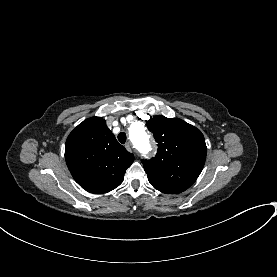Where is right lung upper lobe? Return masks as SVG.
Masks as SVG:
<instances>
[{"label": "right lung upper lobe", "instance_id": "right-lung-upper-lobe-1", "mask_svg": "<svg viewBox=\"0 0 277 277\" xmlns=\"http://www.w3.org/2000/svg\"><path fill=\"white\" fill-rule=\"evenodd\" d=\"M65 160L74 180L90 193L118 187L133 154L119 144L101 117L84 120L68 136Z\"/></svg>", "mask_w": 277, "mask_h": 277}]
</instances>
